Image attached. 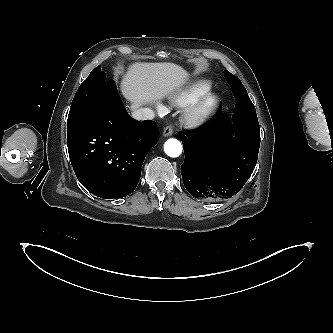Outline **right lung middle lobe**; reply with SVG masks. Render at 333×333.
I'll list each match as a JSON object with an SVG mask.
<instances>
[{
  "label": "right lung middle lobe",
  "mask_w": 333,
  "mask_h": 333,
  "mask_svg": "<svg viewBox=\"0 0 333 333\" xmlns=\"http://www.w3.org/2000/svg\"><path fill=\"white\" fill-rule=\"evenodd\" d=\"M105 78V73L98 66L80 85L71 104L67 128L77 125L86 118L97 105L99 98L109 90L112 81H107Z\"/></svg>",
  "instance_id": "obj_1"
}]
</instances>
